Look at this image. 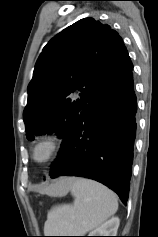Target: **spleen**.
<instances>
[{
  "mask_svg": "<svg viewBox=\"0 0 158 237\" xmlns=\"http://www.w3.org/2000/svg\"><path fill=\"white\" fill-rule=\"evenodd\" d=\"M70 191L73 204L54 206L48 212L44 226L46 236H83L118 209L114 192L96 181L75 178Z\"/></svg>",
  "mask_w": 158,
  "mask_h": 237,
  "instance_id": "obj_1",
  "label": "spleen"
}]
</instances>
